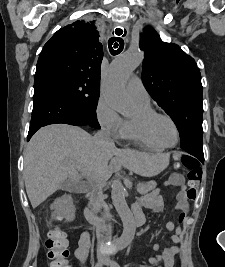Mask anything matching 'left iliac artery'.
Returning <instances> with one entry per match:
<instances>
[{
	"instance_id": "44dca946",
	"label": "left iliac artery",
	"mask_w": 225,
	"mask_h": 267,
	"mask_svg": "<svg viewBox=\"0 0 225 267\" xmlns=\"http://www.w3.org/2000/svg\"><path fill=\"white\" fill-rule=\"evenodd\" d=\"M113 267H120V265L116 261H113Z\"/></svg>"
}]
</instances>
